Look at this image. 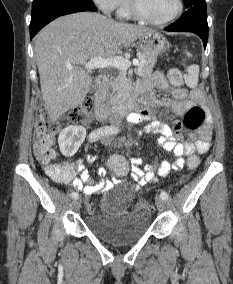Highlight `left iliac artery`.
Wrapping results in <instances>:
<instances>
[{"instance_id":"obj_1","label":"left iliac artery","mask_w":233,"mask_h":284,"mask_svg":"<svg viewBox=\"0 0 233 284\" xmlns=\"http://www.w3.org/2000/svg\"><path fill=\"white\" fill-rule=\"evenodd\" d=\"M160 197L163 198L164 200L168 199V194L166 191H162L160 194Z\"/></svg>"}]
</instances>
